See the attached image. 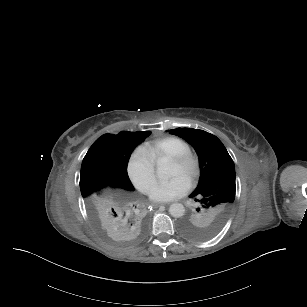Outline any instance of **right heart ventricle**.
I'll return each instance as SVG.
<instances>
[{"label": "right heart ventricle", "mask_w": 307, "mask_h": 307, "mask_svg": "<svg viewBox=\"0 0 307 307\" xmlns=\"http://www.w3.org/2000/svg\"><path fill=\"white\" fill-rule=\"evenodd\" d=\"M192 146L189 139L180 136H166L162 146L157 150V157L168 158Z\"/></svg>", "instance_id": "1"}]
</instances>
